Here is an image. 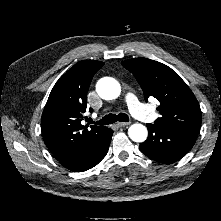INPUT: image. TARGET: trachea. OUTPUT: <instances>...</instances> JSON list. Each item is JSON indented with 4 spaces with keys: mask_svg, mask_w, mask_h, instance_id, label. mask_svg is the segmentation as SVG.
Instances as JSON below:
<instances>
[{
    "mask_svg": "<svg viewBox=\"0 0 221 221\" xmlns=\"http://www.w3.org/2000/svg\"><path fill=\"white\" fill-rule=\"evenodd\" d=\"M128 122L129 117L125 113H119L118 115L116 114H108L105 117H103L101 120L97 121L96 124H101V125H109L115 122ZM93 123V121H90Z\"/></svg>",
    "mask_w": 221,
    "mask_h": 221,
    "instance_id": "trachea-1",
    "label": "trachea"
}]
</instances>
